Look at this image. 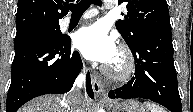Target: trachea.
<instances>
[{"instance_id":"1","label":"trachea","mask_w":193,"mask_h":112,"mask_svg":"<svg viewBox=\"0 0 193 112\" xmlns=\"http://www.w3.org/2000/svg\"><path fill=\"white\" fill-rule=\"evenodd\" d=\"M91 4L102 5L101 0H81L78 4H70L68 7L73 14L84 13Z\"/></svg>"}]
</instances>
